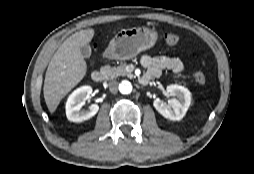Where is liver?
Instances as JSON below:
<instances>
[{
    "label": "liver",
    "instance_id": "obj_1",
    "mask_svg": "<svg viewBox=\"0 0 254 174\" xmlns=\"http://www.w3.org/2000/svg\"><path fill=\"white\" fill-rule=\"evenodd\" d=\"M94 29L80 30L68 37L51 58L44 80V99L50 113L86 75L87 64L80 48L91 42Z\"/></svg>",
    "mask_w": 254,
    "mask_h": 174
}]
</instances>
